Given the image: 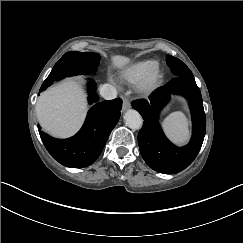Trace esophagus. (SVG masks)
<instances>
[{
	"label": "esophagus",
	"instance_id": "34e87169",
	"mask_svg": "<svg viewBox=\"0 0 243 243\" xmlns=\"http://www.w3.org/2000/svg\"><path fill=\"white\" fill-rule=\"evenodd\" d=\"M131 107V104L128 99H123V110H127Z\"/></svg>",
	"mask_w": 243,
	"mask_h": 243
}]
</instances>
